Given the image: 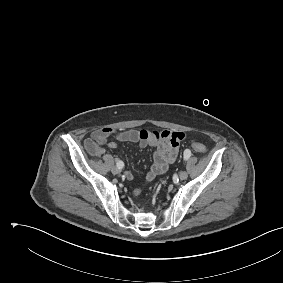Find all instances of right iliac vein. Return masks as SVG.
<instances>
[{
	"mask_svg": "<svg viewBox=\"0 0 283 283\" xmlns=\"http://www.w3.org/2000/svg\"><path fill=\"white\" fill-rule=\"evenodd\" d=\"M111 171H112V173L115 174V175L118 174V173H120V169H119L118 167H112V170H111Z\"/></svg>",
	"mask_w": 283,
	"mask_h": 283,
	"instance_id": "63e3f726",
	"label": "right iliac vein"
}]
</instances>
